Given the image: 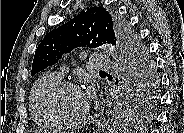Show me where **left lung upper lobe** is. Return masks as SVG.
I'll return each instance as SVG.
<instances>
[{"label": "left lung upper lobe", "mask_w": 184, "mask_h": 133, "mask_svg": "<svg viewBox=\"0 0 184 133\" xmlns=\"http://www.w3.org/2000/svg\"><path fill=\"white\" fill-rule=\"evenodd\" d=\"M117 46L123 69L119 107L132 114L147 107L154 98L157 77L147 49L128 23L105 8L82 11L66 24L50 31L35 51L31 75L54 65L63 54L77 47Z\"/></svg>", "instance_id": "1"}]
</instances>
